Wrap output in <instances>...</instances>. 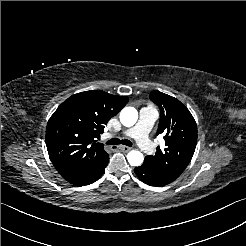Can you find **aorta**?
Returning a JSON list of instances; mask_svg holds the SVG:
<instances>
[{
  "mask_svg": "<svg viewBox=\"0 0 246 246\" xmlns=\"http://www.w3.org/2000/svg\"><path fill=\"white\" fill-rule=\"evenodd\" d=\"M138 119V111L132 106L122 109L120 121L125 126L133 125ZM143 155L139 151H131L127 155V160L131 166H140L143 163Z\"/></svg>",
  "mask_w": 246,
  "mask_h": 246,
  "instance_id": "aorta-1",
  "label": "aorta"
}]
</instances>
